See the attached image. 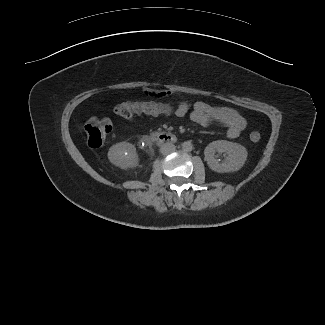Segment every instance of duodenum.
Here are the masks:
<instances>
[{
  "label": "duodenum",
  "mask_w": 325,
  "mask_h": 325,
  "mask_svg": "<svg viewBox=\"0 0 325 325\" xmlns=\"http://www.w3.org/2000/svg\"><path fill=\"white\" fill-rule=\"evenodd\" d=\"M147 140L155 141L161 144H173L176 142L177 137L173 133H155Z\"/></svg>",
  "instance_id": "duodenum-1"
}]
</instances>
